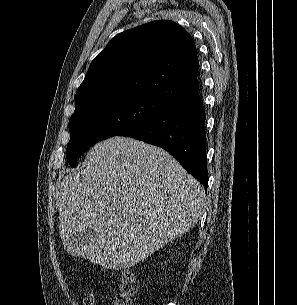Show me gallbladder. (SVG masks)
Returning <instances> with one entry per match:
<instances>
[{"mask_svg": "<svg viewBox=\"0 0 297 305\" xmlns=\"http://www.w3.org/2000/svg\"><path fill=\"white\" fill-rule=\"evenodd\" d=\"M97 235V232L93 228H86L83 231H80L76 233L72 239L71 242L77 247L82 248L83 246H86L89 244L91 240H93Z\"/></svg>", "mask_w": 297, "mask_h": 305, "instance_id": "bac80fb5", "label": "gallbladder"}]
</instances>
